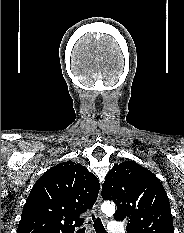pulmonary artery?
Here are the masks:
<instances>
[{"instance_id": "pulmonary-artery-1", "label": "pulmonary artery", "mask_w": 184, "mask_h": 233, "mask_svg": "<svg viewBox=\"0 0 184 233\" xmlns=\"http://www.w3.org/2000/svg\"><path fill=\"white\" fill-rule=\"evenodd\" d=\"M109 233H125L123 225L119 222L113 221L108 224Z\"/></svg>"}]
</instances>
